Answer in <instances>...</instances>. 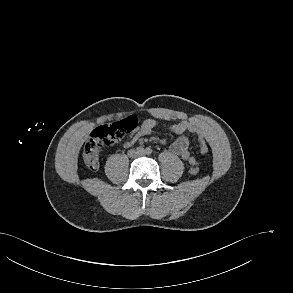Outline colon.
I'll return each mask as SVG.
<instances>
[{
	"label": "colon",
	"instance_id": "obj_1",
	"mask_svg": "<svg viewBox=\"0 0 293 293\" xmlns=\"http://www.w3.org/2000/svg\"><path fill=\"white\" fill-rule=\"evenodd\" d=\"M135 127V118L129 117L121 122L99 126L94 129L83 149V160L86 167L90 170H97L99 167L100 150L103 147L119 142L127 133L133 131ZM199 171L198 164H194L190 169L193 175H197Z\"/></svg>",
	"mask_w": 293,
	"mask_h": 293
}]
</instances>
